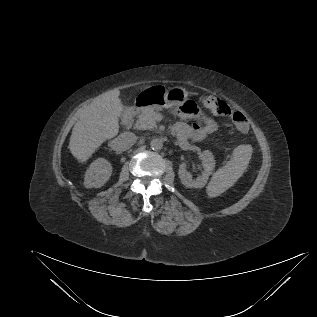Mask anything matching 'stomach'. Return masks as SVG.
<instances>
[{"mask_svg": "<svg viewBox=\"0 0 317 317\" xmlns=\"http://www.w3.org/2000/svg\"><path fill=\"white\" fill-rule=\"evenodd\" d=\"M188 96V91L183 87L166 89L155 85L141 90L135 98V103L141 109L181 107L188 100Z\"/></svg>", "mask_w": 317, "mask_h": 317, "instance_id": "obj_1", "label": "stomach"}]
</instances>
